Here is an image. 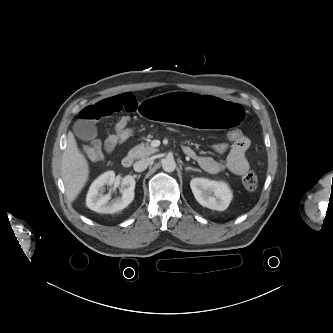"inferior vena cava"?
Instances as JSON below:
<instances>
[{"instance_id":"1","label":"inferior vena cava","mask_w":333,"mask_h":333,"mask_svg":"<svg viewBox=\"0 0 333 333\" xmlns=\"http://www.w3.org/2000/svg\"><path fill=\"white\" fill-rule=\"evenodd\" d=\"M151 163V159H142L134 163L133 168L136 172L144 171Z\"/></svg>"}]
</instances>
